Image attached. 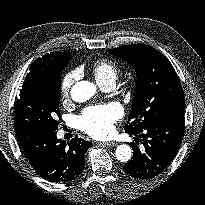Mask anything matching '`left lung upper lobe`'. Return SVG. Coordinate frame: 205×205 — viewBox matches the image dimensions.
Instances as JSON below:
<instances>
[{"instance_id":"left-lung-upper-lobe-1","label":"left lung upper lobe","mask_w":205,"mask_h":205,"mask_svg":"<svg viewBox=\"0 0 205 205\" xmlns=\"http://www.w3.org/2000/svg\"><path fill=\"white\" fill-rule=\"evenodd\" d=\"M108 52L129 63L137 74L136 93L128 117L127 133L175 111L185 109V98L178 76L169 60L145 44L124 45Z\"/></svg>"}]
</instances>
